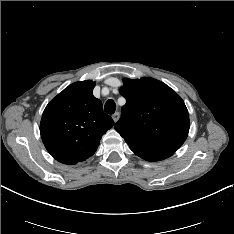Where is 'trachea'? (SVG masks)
<instances>
[{
  "mask_svg": "<svg viewBox=\"0 0 234 234\" xmlns=\"http://www.w3.org/2000/svg\"><path fill=\"white\" fill-rule=\"evenodd\" d=\"M104 110L108 114H113L115 112V110H116V104H115L114 100L109 99L105 103Z\"/></svg>",
  "mask_w": 234,
  "mask_h": 234,
  "instance_id": "3493384b",
  "label": "trachea"
}]
</instances>
